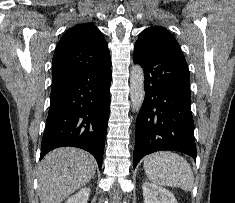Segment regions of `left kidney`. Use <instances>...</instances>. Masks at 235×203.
Here are the masks:
<instances>
[{"mask_svg":"<svg viewBox=\"0 0 235 203\" xmlns=\"http://www.w3.org/2000/svg\"><path fill=\"white\" fill-rule=\"evenodd\" d=\"M142 189L144 203H178L172 192L154 183L146 181Z\"/></svg>","mask_w":235,"mask_h":203,"instance_id":"obj_1","label":"left kidney"}]
</instances>
